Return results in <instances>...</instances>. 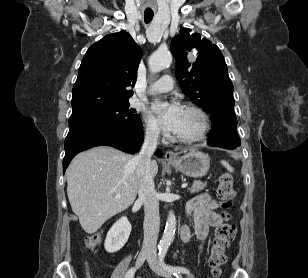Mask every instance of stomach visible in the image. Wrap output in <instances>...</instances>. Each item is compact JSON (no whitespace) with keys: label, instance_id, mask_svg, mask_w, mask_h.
<instances>
[{"label":"stomach","instance_id":"0dacf381","mask_svg":"<svg viewBox=\"0 0 308 278\" xmlns=\"http://www.w3.org/2000/svg\"><path fill=\"white\" fill-rule=\"evenodd\" d=\"M168 164L186 176L199 178L208 172L210 158L203 152L191 150Z\"/></svg>","mask_w":308,"mask_h":278}]
</instances>
